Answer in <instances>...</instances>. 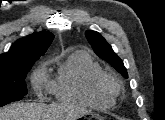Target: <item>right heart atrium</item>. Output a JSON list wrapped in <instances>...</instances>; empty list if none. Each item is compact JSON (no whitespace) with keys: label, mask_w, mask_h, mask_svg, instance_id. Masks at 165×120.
Masks as SVG:
<instances>
[{"label":"right heart atrium","mask_w":165,"mask_h":120,"mask_svg":"<svg viewBox=\"0 0 165 120\" xmlns=\"http://www.w3.org/2000/svg\"><path fill=\"white\" fill-rule=\"evenodd\" d=\"M32 83L36 90H41L45 86L46 76L43 68L36 70L32 76Z\"/></svg>","instance_id":"right-heart-atrium-1"}]
</instances>
